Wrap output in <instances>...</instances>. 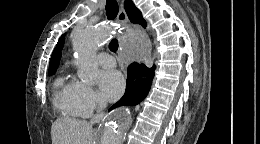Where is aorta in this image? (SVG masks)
<instances>
[{"label":"aorta","mask_w":260,"mask_h":144,"mask_svg":"<svg viewBox=\"0 0 260 144\" xmlns=\"http://www.w3.org/2000/svg\"><path fill=\"white\" fill-rule=\"evenodd\" d=\"M111 27L104 24L73 33V48L78 54V76L86 84H93L97 76L98 63L96 52L99 45L107 42ZM133 54L135 48L130 49ZM130 125L127 111H119L109 118L102 127L100 144H123Z\"/></svg>","instance_id":"1"}]
</instances>
